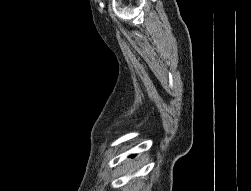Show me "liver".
<instances>
[{
    "label": "liver",
    "mask_w": 251,
    "mask_h": 191,
    "mask_svg": "<svg viewBox=\"0 0 251 191\" xmlns=\"http://www.w3.org/2000/svg\"><path fill=\"white\" fill-rule=\"evenodd\" d=\"M126 163H127V165H129V163H130L129 159H127Z\"/></svg>",
    "instance_id": "liver-1"
}]
</instances>
